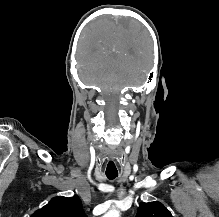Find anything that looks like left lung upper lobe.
Masks as SVG:
<instances>
[{
	"mask_svg": "<svg viewBox=\"0 0 219 217\" xmlns=\"http://www.w3.org/2000/svg\"><path fill=\"white\" fill-rule=\"evenodd\" d=\"M137 217H172L171 212L160 202H141Z\"/></svg>",
	"mask_w": 219,
	"mask_h": 217,
	"instance_id": "obj_1",
	"label": "left lung upper lobe"
}]
</instances>
